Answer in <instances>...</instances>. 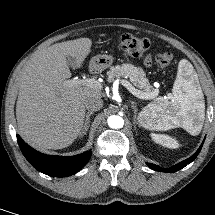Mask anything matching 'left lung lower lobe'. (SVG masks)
<instances>
[{
    "instance_id": "1",
    "label": "left lung lower lobe",
    "mask_w": 215,
    "mask_h": 215,
    "mask_svg": "<svg viewBox=\"0 0 215 215\" xmlns=\"http://www.w3.org/2000/svg\"><path fill=\"white\" fill-rule=\"evenodd\" d=\"M203 146V143L201 144V146L199 147V149L195 152V154H193L190 158L170 167V168H162V167H159L155 164H148L149 167L155 171H159V172H176L182 168H184L187 164H190L196 157L197 155L199 154L201 148Z\"/></svg>"
}]
</instances>
